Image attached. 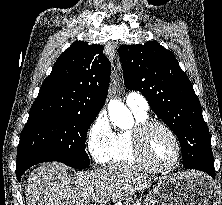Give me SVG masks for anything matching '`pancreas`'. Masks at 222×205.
Segmentation results:
<instances>
[{"label":"pancreas","mask_w":222,"mask_h":205,"mask_svg":"<svg viewBox=\"0 0 222 205\" xmlns=\"http://www.w3.org/2000/svg\"><path fill=\"white\" fill-rule=\"evenodd\" d=\"M135 205H141L140 203H137V204H135Z\"/></svg>","instance_id":"pancreas-1"}]
</instances>
